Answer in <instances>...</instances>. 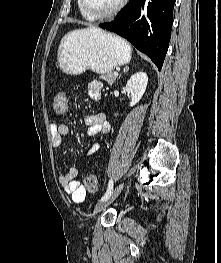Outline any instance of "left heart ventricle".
<instances>
[{
    "label": "left heart ventricle",
    "instance_id": "left-heart-ventricle-1",
    "mask_svg": "<svg viewBox=\"0 0 221 263\" xmlns=\"http://www.w3.org/2000/svg\"><path fill=\"white\" fill-rule=\"evenodd\" d=\"M90 12L100 14L114 8L120 0H85Z\"/></svg>",
    "mask_w": 221,
    "mask_h": 263
}]
</instances>
